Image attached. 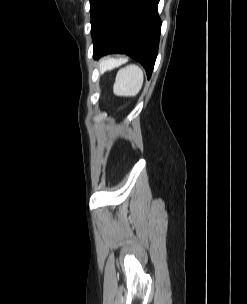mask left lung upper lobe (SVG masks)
Listing matches in <instances>:
<instances>
[{
  "label": "left lung upper lobe",
  "instance_id": "1",
  "mask_svg": "<svg viewBox=\"0 0 247 304\" xmlns=\"http://www.w3.org/2000/svg\"><path fill=\"white\" fill-rule=\"evenodd\" d=\"M101 0H90V12H91V18L94 16Z\"/></svg>",
  "mask_w": 247,
  "mask_h": 304
}]
</instances>
